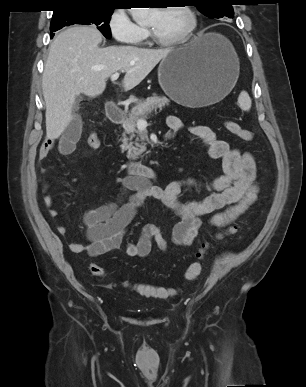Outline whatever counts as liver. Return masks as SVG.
I'll use <instances>...</instances> for the list:
<instances>
[{
	"label": "liver",
	"mask_w": 306,
	"mask_h": 387,
	"mask_svg": "<svg viewBox=\"0 0 306 387\" xmlns=\"http://www.w3.org/2000/svg\"><path fill=\"white\" fill-rule=\"evenodd\" d=\"M102 35L95 27L68 28L54 39L42 77L46 103V137H60L72 120L76 97L103 93L107 79L125 72L122 86L129 91L139 85L154 67L174 49L136 46L100 48Z\"/></svg>",
	"instance_id": "obj_1"
}]
</instances>
